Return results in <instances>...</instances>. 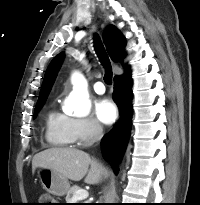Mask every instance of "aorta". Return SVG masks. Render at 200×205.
I'll use <instances>...</instances> for the list:
<instances>
[{
  "label": "aorta",
  "mask_w": 200,
  "mask_h": 205,
  "mask_svg": "<svg viewBox=\"0 0 200 205\" xmlns=\"http://www.w3.org/2000/svg\"><path fill=\"white\" fill-rule=\"evenodd\" d=\"M73 82V98H72V109L74 114L83 117L89 114L90 112V101L88 99L87 91V81L83 75L76 73L72 79Z\"/></svg>",
  "instance_id": "1"
}]
</instances>
